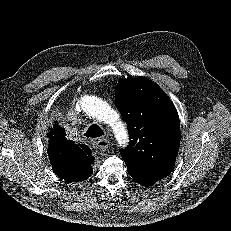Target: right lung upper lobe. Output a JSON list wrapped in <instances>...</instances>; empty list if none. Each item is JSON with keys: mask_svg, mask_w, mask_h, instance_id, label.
<instances>
[{"mask_svg": "<svg viewBox=\"0 0 231 231\" xmlns=\"http://www.w3.org/2000/svg\"><path fill=\"white\" fill-rule=\"evenodd\" d=\"M50 136L48 155L54 172L66 182L87 179L92 173L94 157L85 145L66 139L65 129L55 122Z\"/></svg>", "mask_w": 231, "mask_h": 231, "instance_id": "cb5924a9", "label": "right lung upper lobe"}]
</instances>
